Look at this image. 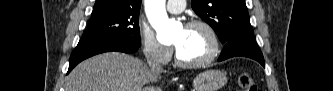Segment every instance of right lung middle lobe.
<instances>
[{
	"instance_id": "dd1d6c3e",
	"label": "right lung middle lobe",
	"mask_w": 333,
	"mask_h": 91,
	"mask_svg": "<svg viewBox=\"0 0 333 91\" xmlns=\"http://www.w3.org/2000/svg\"><path fill=\"white\" fill-rule=\"evenodd\" d=\"M139 12L128 11L91 18L82 39H118L140 47Z\"/></svg>"
}]
</instances>
